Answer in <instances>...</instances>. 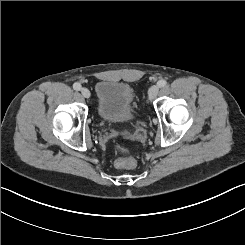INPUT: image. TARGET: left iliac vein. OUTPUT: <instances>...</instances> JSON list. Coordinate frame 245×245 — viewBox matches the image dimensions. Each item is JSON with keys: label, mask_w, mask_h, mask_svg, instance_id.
<instances>
[{"label": "left iliac vein", "mask_w": 245, "mask_h": 245, "mask_svg": "<svg viewBox=\"0 0 245 245\" xmlns=\"http://www.w3.org/2000/svg\"><path fill=\"white\" fill-rule=\"evenodd\" d=\"M159 88L156 85H153L149 90V100H154L158 94Z\"/></svg>", "instance_id": "obj_1"}]
</instances>
